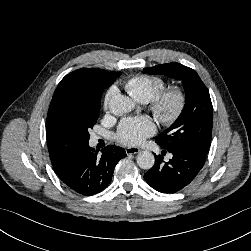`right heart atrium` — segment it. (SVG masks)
<instances>
[{"label": "right heart atrium", "instance_id": "1", "mask_svg": "<svg viewBox=\"0 0 251 251\" xmlns=\"http://www.w3.org/2000/svg\"><path fill=\"white\" fill-rule=\"evenodd\" d=\"M116 93H117V91H116V89H115L114 87H111V88L107 91V93H106V95H105V97H104V99H103V108H104L105 110L108 109L109 104H110L111 100L113 99V97L116 95Z\"/></svg>", "mask_w": 251, "mask_h": 251}]
</instances>
